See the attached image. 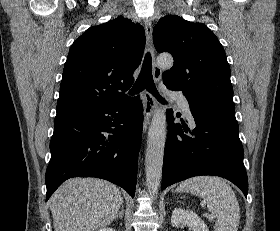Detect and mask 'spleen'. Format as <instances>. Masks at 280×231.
<instances>
[{
    "label": "spleen",
    "mask_w": 280,
    "mask_h": 231,
    "mask_svg": "<svg viewBox=\"0 0 280 231\" xmlns=\"http://www.w3.org/2000/svg\"><path fill=\"white\" fill-rule=\"evenodd\" d=\"M177 191H190L203 197L208 209L216 213L214 231H237L240 223L239 203L232 187L224 179L197 175L179 183Z\"/></svg>",
    "instance_id": "1"
}]
</instances>
